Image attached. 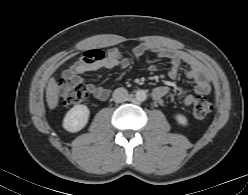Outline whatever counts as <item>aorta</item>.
<instances>
[{
  "mask_svg": "<svg viewBox=\"0 0 248 195\" xmlns=\"http://www.w3.org/2000/svg\"><path fill=\"white\" fill-rule=\"evenodd\" d=\"M135 98L137 101H140V102L145 101L147 98L146 91H144V90L136 91Z\"/></svg>",
  "mask_w": 248,
  "mask_h": 195,
  "instance_id": "762f6f07",
  "label": "aorta"
}]
</instances>
